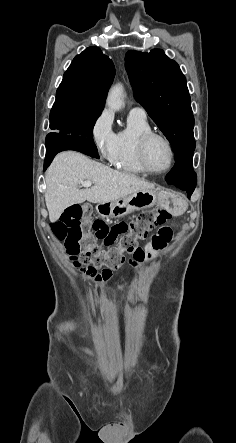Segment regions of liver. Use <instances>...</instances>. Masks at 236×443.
Instances as JSON below:
<instances>
[{
  "label": "liver",
  "instance_id": "obj_1",
  "mask_svg": "<svg viewBox=\"0 0 236 443\" xmlns=\"http://www.w3.org/2000/svg\"><path fill=\"white\" fill-rule=\"evenodd\" d=\"M45 201L51 222H56L64 209L86 200L108 203L132 193L154 189V185L140 178L93 161L77 152H62L47 170ZM84 181L94 186L80 190Z\"/></svg>",
  "mask_w": 236,
  "mask_h": 443
}]
</instances>
